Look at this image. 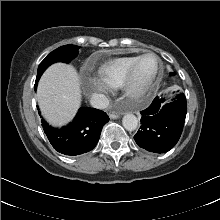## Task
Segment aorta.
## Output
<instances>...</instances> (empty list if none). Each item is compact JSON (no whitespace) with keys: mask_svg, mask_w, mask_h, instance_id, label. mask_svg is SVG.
Here are the masks:
<instances>
[{"mask_svg":"<svg viewBox=\"0 0 220 220\" xmlns=\"http://www.w3.org/2000/svg\"><path fill=\"white\" fill-rule=\"evenodd\" d=\"M123 127L128 131H134L138 126V119L133 114H126L122 118Z\"/></svg>","mask_w":220,"mask_h":220,"instance_id":"obj_1","label":"aorta"}]
</instances>
